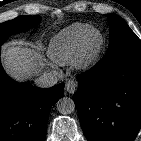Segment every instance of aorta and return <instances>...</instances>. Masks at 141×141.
<instances>
[{
  "label": "aorta",
  "instance_id": "762f6f07",
  "mask_svg": "<svg viewBox=\"0 0 141 141\" xmlns=\"http://www.w3.org/2000/svg\"><path fill=\"white\" fill-rule=\"evenodd\" d=\"M57 110L64 115L71 114L75 110V103L69 97H63L57 102Z\"/></svg>",
  "mask_w": 141,
  "mask_h": 141
}]
</instances>
